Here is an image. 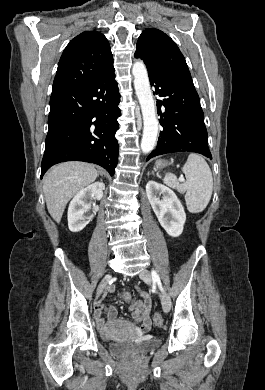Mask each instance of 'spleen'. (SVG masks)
Listing matches in <instances>:
<instances>
[{
    "mask_svg": "<svg viewBox=\"0 0 265 390\" xmlns=\"http://www.w3.org/2000/svg\"><path fill=\"white\" fill-rule=\"evenodd\" d=\"M186 182L180 184L173 174H167L163 181L166 185L185 193L186 206L191 213H200L208 205L213 190L211 169L204 158L191 153L182 168Z\"/></svg>",
    "mask_w": 265,
    "mask_h": 390,
    "instance_id": "obj_1",
    "label": "spleen"
}]
</instances>
